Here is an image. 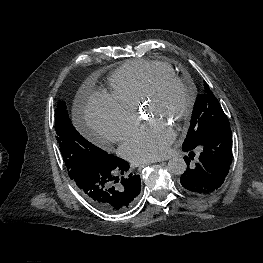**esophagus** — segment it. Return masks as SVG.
<instances>
[{
  "label": "esophagus",
  "mask_w": 263,
  "mask_h": 263,
  "mask_svg": "<svg viewBox=\"0 0 263 263\" xmlns=\"http://www.w3.org/2000/svg\"><path fill=\"white\" fill-rule=\"evenodd\" d=\"M162 161V160H161ZM160 162V161H159ZM150 163H153V162H148V163H143L141 165H139V168H144L145 166L149 165Z\"/></svg>",
  "instance_id": "obj_1"
}]
</instances>
